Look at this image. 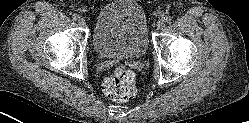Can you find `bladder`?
<instances>
[{
	"mask_svg": "<svg viewBox=\"0 0 249 123\" xmlns=\"http://www.w3.org/2000/svg\"><path fill=\"white\" fill-rule=\"evenodd\" d=\"M92 44L100 58H138L149 46L146 13L137 0H111L97 12Z\"/></svg>",
	"mask_w": 249,
	"mask_h": 123,
	"instance_id": "31cf9c89",
	"label": "bladder"
}]
</instances>
